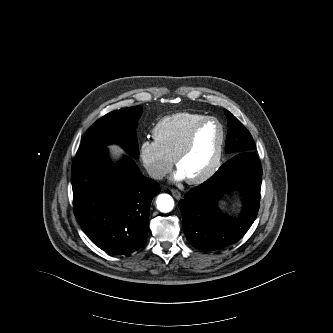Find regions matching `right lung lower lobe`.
Here are the masks:
<instances>
[{
    "label": "right lung lower lobe",
    "instance_id": "right-lung-lower-lobe-1",
    "mask_svg": "<svg viewBox=\"0 0 333 333\" xmlns=\"http://www.w3.org/2000/svg\"><path fill=\"white\" fill-rule=\"evenodd\" d=\"M72 187L75 216L99 248L121 255L144 245L150 204L160 188L129 157L112 168L105 147L79 149Z\"/></svg>",
    "mask_w": 333,
    "mask_h": 333
}]
</instances>
